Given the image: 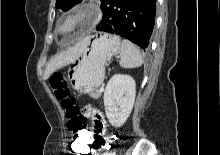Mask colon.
Segmentation results:
<instances>
[{"label":"colon","mask_w":220,"mask_h":155,"mask_svg":"<svg viewBox=\"0 0 220 155\" xmlns=\"http://www.w3.org/2000/svg\"><path fill=\"white\" fill-rule=\"evenodd\" d=\"M49 82L55 97L65 111L67 128L74 133L70 142V147H73L70 150V155H89L92 140L94 153L113 155L109 149L117 148V137H110L109 144H107L103 136L105 128L102 124L97 125L94 137L90 123H86L87 119H84V113L80 111L75 98L70 93L68 81L64 74L55 72L51 75Z\"/></svg>","instance_id":"5ec220e1"}]
</instances>
